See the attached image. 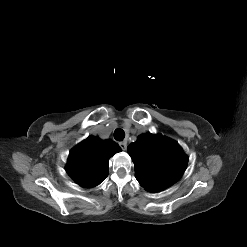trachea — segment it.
<instances>
[{
  "instance_id": "obj_1",
  "label": "trachea",
  "mask_w": 247,
  "mask_h": 247,
  "mask_svg": "<svg viewBox=\"0 0 247 247\" xmlns=\"http://www.w3.org/2000/svg\"><path fill=\"white\" fill-rule=\"evenodd\" d=\"M124 137H125V132L122 129L118 128L114 131L115 140L122 141Z\"/></svg>"
}]
</instances>
